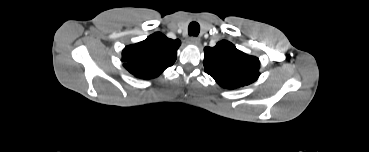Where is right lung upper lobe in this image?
I'll return each mask as SVG.
<instances>
[{
    "label": "right lung upper lobe",
    "mask_w": 369,
    "mask_h": 152,
    "mask_svg": "<svg viewBox=\"0 0 369 152\" xmlns=\"http://www.w3.org/2000/svg\"><path fill=\"white\" fill-rule=\"evenodd\" d=\"M181 42L156 32L142 42L129 45L122 52L123 66L142 79L157 77L177 58Z\"/></svg>",
    "instance_id": "1"
}]
</instances>
